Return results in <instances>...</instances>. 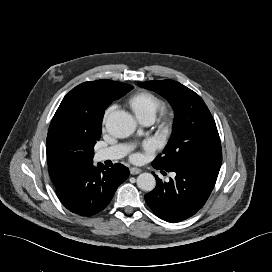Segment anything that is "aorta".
I'll list each match as a JSON object with an SVG mask.
<instances>
[{"mask_svg": "<svg viewBox=\"0 0 272 272\" xmlns=\"http://www.w3.org/2000/svg\"><path fill=\"white\" fill-rule=\"evenodd\" d=\"M105 127L112 136L126 138L135 131L136 122L125 111H114L107 116ZM137 186L143 191L150 192L156 186L155 177L151 173H142L137 177Z\"/></svg>", "mask_w": 272, "mask_h": 272, "instance_id": "762f6f07", "label": "aorta"}]
</instances>
